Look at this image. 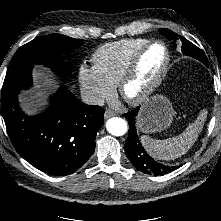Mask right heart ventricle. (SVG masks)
<instances>
[{"mask_svg": "<svg viewBox=\"0 0 221 221\" xmlns=\"http://www.w3.org/2000/svg\"><path fill=\"white\" fill-rule=\"evenodd\" d=\"M148 41L146 38H127L105 43L92 55L94 67L108 83L116 86L133 54Z\"/></svg>", "mask_w": 221, "mask_h": 221, "instance_id": "e07e8e85", "label": "right heart ventricle"}]
</instances>
